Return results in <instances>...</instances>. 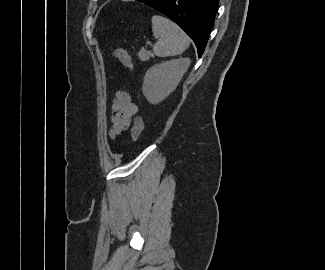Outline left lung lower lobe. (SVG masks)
Segmentation results:
<instances>
[{"instance_id":"obj_1","label":"left lung lower lobe","mask_w":325,"mask_h":270,"mask_svg":"<svg viewBox=\"0 0 325 270\" xmlns=\"http://www.w3.org/2000/svg\"><path fill=\"white\" fill-rule=\"evenodd\" d=\"M176 22L194 41L201 57L210 36L219 0H137Z\"/></svg>"}]
</instances>
